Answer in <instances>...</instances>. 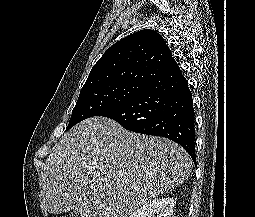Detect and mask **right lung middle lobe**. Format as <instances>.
Masks as SVG:
<instances>
[{"mask_svg":"<svg viewBox=\"0 0 255 217\" xmlns=\"http://www.w3.org/2000/svg\"><path fill=\"white\" fill-rule=\"evenodd\" d=\"M147 85L111 84L80 92L67 130L80 121L116 109L137 97Z\"/></svg>","mask_w":255,"mask_h":217,"instance_id":"1","label":"right lung middle lobe"}]
</instances>
